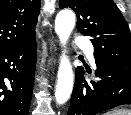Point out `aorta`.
Returning a JSON list of instances; mask_svg holds the SVG:
<instances>
[{
	"label": "aorta",
	"mask_w": 131,
	"mask_h": 115,
	"mask_svg": "<svg viewBox=\"0 0 131 115\" xmlns=\"http://www.w3.org/2000/svg\"><path fill=\"white\" fill-rule=\"evenodd\" d=\"M75 14L71 10H61L55 19V31L60 43L65 47L75 26ZM74 74L65 51L60 59L55 99L58 104H64L70 98L73 89Z\"/></svg>",
	"instance_id": "1"
}]
</instances>
